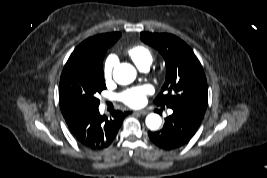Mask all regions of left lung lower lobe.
I'll list each match as a JSON object with an SVG mask.
<instances>
[{"label": "left lung lower lobe", "instance_id": "left-lung-lower-lobe-1", "mask_svg": "<svg viewBox=\"0 0 267 178\" xmlns=\"http://www.w3.org/2000/svg\"><path fill=\"white\" fill-rule=\"evenodd\" d=\"M171 109L173 113L165 119L164 127L160 131L148 133L152 142L164 150L176 149L188 143L202 122L180 108Z\"/></svg>", "mask_w": 267, "mask_h": 178}]
</instances>
